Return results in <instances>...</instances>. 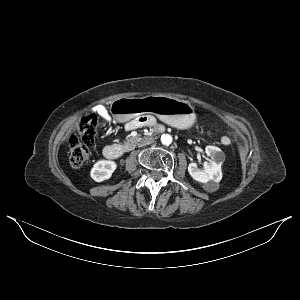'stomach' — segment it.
<instances>
[{"instance_id":"0dacf381","label":"stomach","mask_w":300,"mask_h":300,"mask_svg":"<svg viewBox=\"0 0 300 300\" xmlns=\"http://www.w3.org/2000/svg\"><path fill=\"white\" fill-rule=\"evenodd\" d=\"M110 112L118 122L154 114L161 121L181 129L191 127L196 120L194 107L190 103L162 95L120 98L112 102Z\"/></svg>"}]
</instances>
